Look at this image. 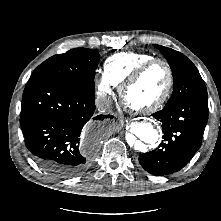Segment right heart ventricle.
<instances>
[{
  "label": "right heart ventricle",
  "mask_w": 221,
  "mask_h": 221,
  "mask_svg": "<svg viewBox=\"0 0 221 221\" xmlns=\"http://www.w3.org/2000/svg\"><path fill=\"white\" fill-rule=\"evenodd\" d=\"M153 58L144 52L117 53L105 61L104 74L115 86H120L141 64Z\"/></svg>",
  "instance_id": "right-heart-ventricle-1"
}]
</instances>
